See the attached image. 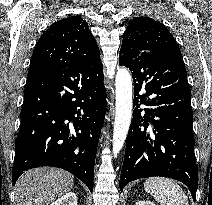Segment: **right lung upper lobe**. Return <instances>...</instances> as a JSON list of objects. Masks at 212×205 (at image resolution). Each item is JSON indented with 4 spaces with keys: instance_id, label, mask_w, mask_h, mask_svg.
Wrapping results in <instances>:
<instances>
[{
    "instance_id": "obj_1",
    "label": "right lung upper lobe",
    "mask_w": 212,
    "mask_h": 205,
    "mask_svg": "<svg viewBox=\"0 0 212 205\" xmlns=\"http://www.w3.org/2000/svg\"><path fill=\"white\" fill-rule=\"evenodd\" d=\"M97 42L79 16L53 23L40 37L32 54L28 75L47 69L101 65Z\"/></svg>"
}]
</instances>
